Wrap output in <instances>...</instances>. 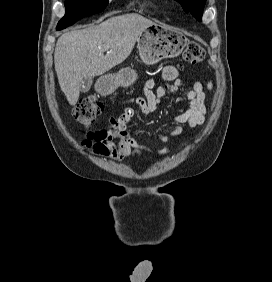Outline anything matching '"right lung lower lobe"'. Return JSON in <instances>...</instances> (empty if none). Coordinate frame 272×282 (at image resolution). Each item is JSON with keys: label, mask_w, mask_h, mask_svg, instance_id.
Here are the masks:
<instances>
[{"label": "right lung lower lobe", "mask_w": 272, "mask_h": 282, "mask_svg": "<svg viewBox=\"0 0 272 282\" xmlns=\"http://www.w3.org/2000/svg\"><path fill=\"white\" fill-rule=\"evenodd\" d=\"M57 30H62V29H60V28H57Z\"/></svg>", "instance_id": "1"}]
</instances>
